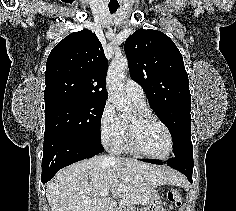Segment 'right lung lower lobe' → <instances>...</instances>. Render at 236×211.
<instances>
[{"label":"right lung lower lobe","mask_w":236,"mask_h":211,"mask_svg":"<svg viewBox=\"0 0 236 211\" xmlns=\"http://www.w3.org/2000/svg\"><path fill=\"white\" fill-rule=\"evenodd\" d=\"M101 142L77 135L44 137L42 183L48 182L61 168L103 152Z\"/></svg>","instance_id":"1"}]
</instances>
